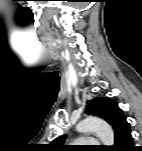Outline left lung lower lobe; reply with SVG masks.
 I'll return each mask as SVG.
<instances>
[{"label": "left lung lower lobe", "mask_w": 142, "mask_h": 151, "mask_svg": "<svg viewBox=\"0 0 142 151\" xmlns=\"http://www.w3.org/2000/svg\"><path fill=\"white\" fill-rule=\"evenodd\" d=\"M111 151H135L133 146V138L131 135V129H126L120 134L116 140L114 146L111 147Z\"/></svg>", "instance_id": "obj_1"}]
</instances>
